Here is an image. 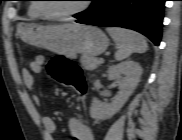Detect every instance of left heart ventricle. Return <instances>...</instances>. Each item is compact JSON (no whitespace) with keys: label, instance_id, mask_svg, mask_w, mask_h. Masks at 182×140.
Returning <instances> with one entry per match:
<instances>
[{"label":"left heart ventricle","instance_id":"left-heart-ventricle-1","mask_svg":"<svg viewBox=\"0 0 182 140\" xmlns=\"http://www.w3.org/2000/svg\"><path fill=\"white\" fill-rule=\"evenodd\" d=\"M79 0H50L42 5L43 9L49 13H64L79 8L82 3Z\"/></svg>","mask_w":182,"mask_h":140}]
</instances>
